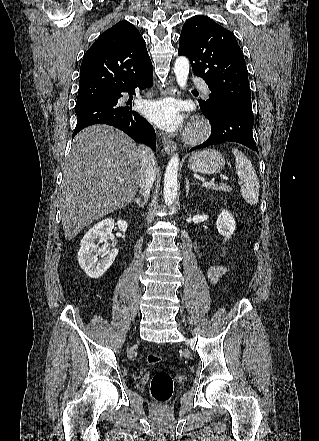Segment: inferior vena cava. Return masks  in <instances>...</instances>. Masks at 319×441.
Listing matches in <instances>:
<instances>
[{
	"mask_svg": "<svg viewBox=\"0 0 319 441\" xmlns=\"http://www.w3.org/2000/svg\"><path fill=\"white\" fill-rule=\"evenodd\" d=\"M144 148V147H143ZM156 166H155V156L152 150L144 148L143 159H142V171L140 180V191L146 200L148 199L153 183L156 178Z\"/></svg>",
	"mask_w": 319,
	"mask_h": 441,
	"instance_id": "inferior-vena-cava-1",
	"label": "inferior vena cava"
}]
</instances>
